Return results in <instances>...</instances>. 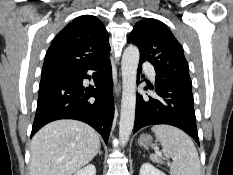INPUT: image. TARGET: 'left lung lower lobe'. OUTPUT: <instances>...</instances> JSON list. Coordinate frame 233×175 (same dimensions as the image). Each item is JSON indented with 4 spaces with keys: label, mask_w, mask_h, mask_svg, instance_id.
I'll use <instances>...</instances> for the list:
<instances>
[{
    "label": "left lung lower lobe",
    "mask_w": 233,
    "mask_h": 175,
    "mask_svg": "<svg viewBox=\"0 0 233 175\" xmlns=\"http://www.w3.org/2000/svg\"><path fill=\"white\" fill-rule=\"evenodd\" d=\"M143 62L140 60L138 74L141 72ZM144 89L147 90V87ZM155 89L159 99L137 95L133 133L148 125L168 124L184 130L199 145L192 84L156 74Z\"/></svg>",
    "instance_id": "0a47b994"
}]
</instances>
